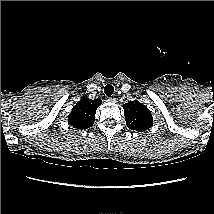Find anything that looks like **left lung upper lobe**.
<instances>
[{"instance_id":"5c2ea615","label":"left lung upper lobe","mask_w":214,"mask_h":214,"mask_svg":"<svg viewBox=\"0 0 214 214\" xmlns=\"http://www.w3.org/2000/svg\"><path fill=\"white\" fill-rule=\"evenodd\" d=\"M126 125L129 129L143 132L153 124L150 110L138 100L123 105Z\"/></svg>"}]
</instances>
